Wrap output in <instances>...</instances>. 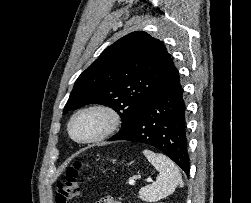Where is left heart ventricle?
I'll list each match as a JSON object with an SVG mask.
<instances>
[{
	"mask_svg": "<svg viewBox=\"0 0 251 203\" xmlns=\"http://www.w3.org/2000/svg\"><path fill=\"white\" fill-rule=\"evenodd\" d=\"M104 125V119L96 113L79 116L73 123V133L79 139L89 138L98 133Z\"/></svg>",
	"mask_w": 251,
	"mask_h": 203,
	"instance_id": "b2bd125f",
	"label": "left heart ventricle"
}]
</instances>
